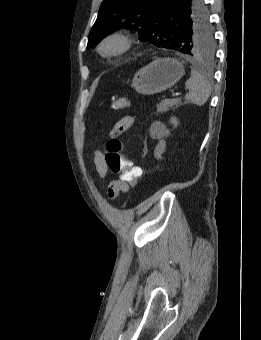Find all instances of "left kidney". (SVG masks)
<instances>
[{"label":"left kidney","mask_w":261,"mask_h":340,"mask_svg":"<svg viewBox=\"0 0 261 340\" xmlns=\"http://www.w3.org/2000/svg\"><path fill=\"white\" fill-rule=\"evenodd\" d=\"M170 123L173 125L174 128H176L179 124V121L176 117H172L170 119ZM170 135V131L167 130L165 132V136H169ZM165 149H166V141L164 139L160 140L159 143L157 144V146L155 147V150H154V156L156 159H162V154L165 152Z\"/></svg>","instance_id":"left-kidney-1"}]
</instances>
